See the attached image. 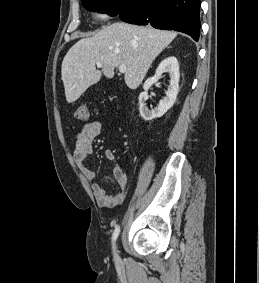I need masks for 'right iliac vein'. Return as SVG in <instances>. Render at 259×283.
Instances as JSON below:
<instances>
[{
  "label": "right iliac vein",
  "instance_id": "obj_1",
  "mask_svg": "<svg viewBox=\"0 0 259 283\" xmlns=\"http://www.w3.org/2000/svg\"><path fill=\"white\" fill-rule=\"evenodd\" d=\"M114 251H115V255L117 256V250H116V246L114 245Z\"/></svg>",
  "mask_w": 259,
  "mask_h": 283
}]
</instances>
